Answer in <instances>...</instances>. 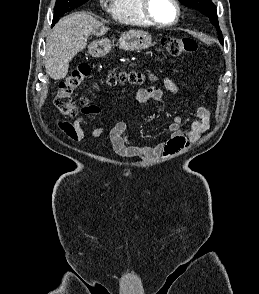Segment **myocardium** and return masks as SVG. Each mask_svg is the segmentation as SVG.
<instances>
[{
  "label": "myocardium",
  "instance_id": "f54148a6",
  "mask_svg": "<svg viewBox=\"0 0 259 294\" xmlns=\"http://www.w3.org/2000/svg\"><path fill=\"white\" fill-rule=\"evenodd\" d=\"M141 1H142V4H141L142 13H143L144 17L150 22L151 25L161 27V28H169V27L176 25L179 22L180 16H181V9H180V5L177 0H171V2L174 5V8H175L176 15H175L174 20L170 23L159 22L158 20H156L153 17V15L150 11L151 0H141Z\"/></svg>",
  "mask_w": 259,
  "mask_h": 294
}]
</instances>
